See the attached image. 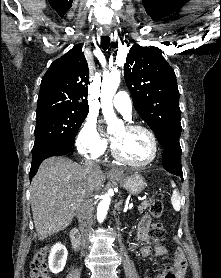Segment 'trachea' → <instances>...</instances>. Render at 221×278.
<instances>
[{"label": "trachea", "instance_id": "3493384b", "mask_svg": "<svg viewBox=\"0 0 221 278\" xmlns=\"http://www.w3.org/2000/svg\"><path fill=\"white\" fill-rule=\"evenodd\" d=\"M101 46L104 50H107L110 46V38L109 36L101 37Z\"/></svg>", "mask_w": 221, "mask_h": 278}]
</instances>
